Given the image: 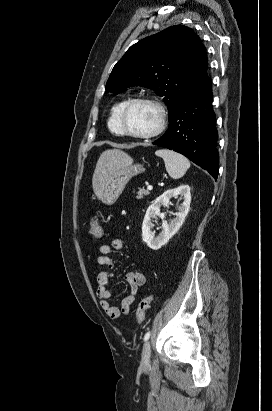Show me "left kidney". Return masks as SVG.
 <instances>
[{
  "label": "left kidney",
  "instance_id": "left-kidney-1",
  "mask_svg": "<svg viewBox=\"0 0 272 411\" xmlns=\"http://www.w3.org/2000/svg\"><path fill=\"white\" fill-rule=\"evenodd\" d=\"M178 195L183 199V203L179 206L176 217L168 224L164 221L165 214L160 212V207L162 205L168 206L170 199ZM190 203L191 193L188 185H181L175 189H169L154 200L148 207L142 224V239L148 247L153 250H158L177 233L189 212ZM158 217L163 220V231L155 237V232L153 231L154 225L151 220L157 219Z\"/></svg>",
  "mask_w": 272,
  "mask_h": 411
}]
</instances>
